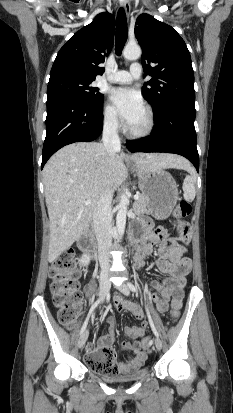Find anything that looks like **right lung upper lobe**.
<instances>
[{
  "mask_svg": "<svg viewBox=\"0 0 233 413\" xmlns=\"http://www.w3.org/2000/svg\"><path fill=\"white\" fill-rule=\"evenodd\" d=\"M114 31V16L108 12L98 14L60 49L49 81L63 77L95 80L97 75H102L104 68L98 65L104 62L112 49Z\"/></svg>",
  "mask_w": 233,
  "mask_h": 413,
  "instance_id": "right-lung-upper-lobe-1",
  "label": "right lung upper lobe"
}]
</instances>
